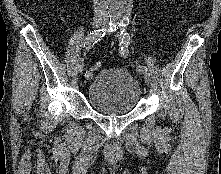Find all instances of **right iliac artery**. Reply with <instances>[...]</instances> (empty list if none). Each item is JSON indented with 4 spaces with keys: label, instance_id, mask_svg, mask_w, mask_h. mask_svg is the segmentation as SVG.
Wrapping results in <instances>:
<instances>
[{
    "label": "right iliac artery",
    "instance_id": "1",
    "mask_svg": "<svg viewBox=\"0 0 221 174\" xmlns=\"http://www.w3.org/2000/svg\"><path fill=\"white\" fill-rule=\"evenodd\" d=\"M114 21H111L109 23L110 29L113 27ZM106 29H99V30H94L88 34V36L85 38V48L86 50H89L93 47L95 43H97L105 34ZM85 79L90 80L93 77V73L91 70H86L84 74Z\"/></svg>",
    "mask_w": 221,
    "mask_h": 174
}]
</instances>
